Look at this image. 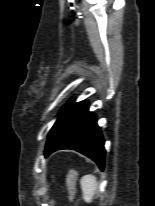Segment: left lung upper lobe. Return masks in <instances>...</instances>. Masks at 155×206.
Instances as JSON below:
<instances>
[{
	"label": "left lung upper lobe",
	"mask_w": 155,
	"mask_h": 206,
	"mask_svg": "<svg viewBox=\"0 0 155 206\" xmlns=\"http://www.w3.org/2000/svg\"><path fill=\"white\" fill-rule=\"evenodd\" d=\"M89 105L86 101L74 103L69 101L62 109L61 114L57 118L51 128L46 149L54 144L58 139L65 135L73 125L88 111Z\"/></svg>",
	"instance_id": "obj_1"
}]
</instances>
